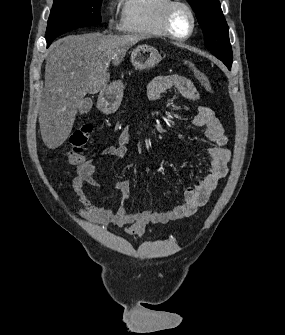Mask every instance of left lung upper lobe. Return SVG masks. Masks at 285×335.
Returning a JSON list of instances; mask_svg holds the SVG:
<instances>
[{
	"mask_svg": "<svg viewBox=\"0 0 285 335\" xmlns=\"http://www.w3.org/2000/svg\"><path fill=\"white\" fill-rule=\"evenodd\" d=\"M188 2L196 13L206 46L231 69L233 57L228 25L223 17L219 0H188Z\"/></svg>",
	"mask_w": 285,
	"mask_h": 335,
	"instance_id": "obj_1",
	"label": "left lung upper lobe"
}]
</instances>
